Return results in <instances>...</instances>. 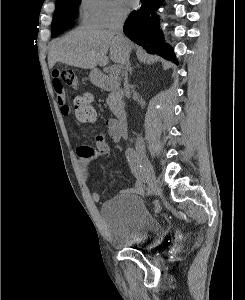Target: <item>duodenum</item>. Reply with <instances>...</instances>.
<instances>
[{"instance_id": "410a0bca", "label": "duodenum", "mask_w": 245, "mask_h": 300, "mask_svg": "<svg viewBox=\"0 0 245 300\" xmlns=\"http://www.w3.org/2000/svg\"><path fill=\"white\" fill-rule=\"evenodd\" d=\"M95 81L96 83L104 88V89H111L112 88V83L109 80V78L101 73H95ZM116 120L118 124L120 125L121 129L123 132H127V115L126 112L120 108L116 107L114 110Z\"/></svg>"}]
</instances>
